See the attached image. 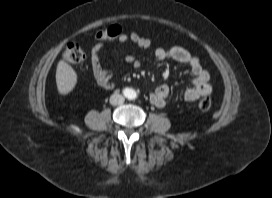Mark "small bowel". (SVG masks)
I'll use <instances>...</instances> for the list:
<instances>
[{
    "label": "small bowel",
    "instance_id": "obj_1",
    "mask_svg": "<svg viewBox=\"0 0 272 198\" xmlns=\"http://www.w3.org/2000/svg\"><path fill=\"white\" fill-rule=\"evenodd\" d=\"M119 41L121 43L131 42L136 48L141 50H148L151 47V43L148 39L135 32L129 35H121ZM101 48V44H96L90 51L91 70L96 84L101 89L111 90L115 86V81L113 80L112 72L102 67ZM111 54L133 69H138L141 66L140 60L132 54H122L118 50L111 51ZM153 55L156 61L160 62L165 59H171L177 63L187 65L190 68L193 79L191 86L187 88L183 94L185 101L194 102L210 94L212 89L210 75L208 71L203 68L200 60L189 51L179 46H173L168 49L158 47L154 50ZM169 93L170 90L167 85L158 86L155 92L150 96L151 104L158 108L166 107Z\"/></svg>",
    "mask_w": 272,
    "mask_h": 198
}]
</instances>
